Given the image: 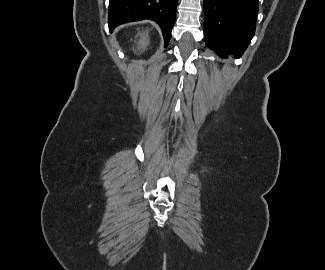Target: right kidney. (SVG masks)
<instances>
[{
	"label": "right kidney",
	"mask_w": 325,
	"mask_h": 270,
	"mask_svg": "<svg viewBox=\"0 0 325 270\" xmlns=\"http://www.w3.org/2000/svg\"><path fill=\"white\" fill-rule=\"evenodd\" d=\"M147 33H146V36H145V33H144V36H143V34H140V41L137 44L139 51H144L146 49L147 45L149 44V40L147 39V37H148Z\"/></svg>",
	"instance_id": "1"
}]
</instances>
